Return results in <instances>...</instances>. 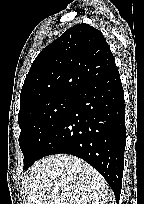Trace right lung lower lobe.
<instances>
[{"label": "right lung lower lobe", "mask_w": 144, "mask_h": 204, "mask_svg": "<svg viewBox=\"0 0 144 204\" xmlns=\"http://www.w3.org/2000/svg\"><path fill=\"white\" fill-rule=\"evenodd\" d=\"M125 144L124 92L116 68L76 94L39 159L65 153L85 160L106 179L118 202Z\"/></svg>", "instance_id": "obj_1"}]
</instances>
